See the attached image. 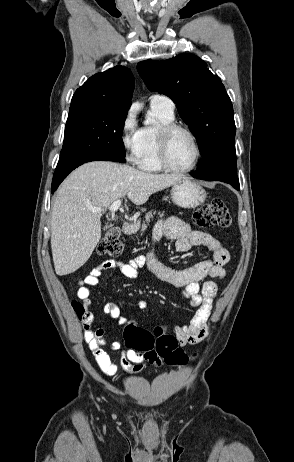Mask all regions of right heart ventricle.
Segmentation results:
<instances>
[{
	"mask_svg": "<svg viewBox=\"0 0 294 462\" xmlns=\"http://www.w3.org/2000/svg\"><path fill=\"white\" fill-rule=\"evenodd\" d=\"M150 115L156 120V124L144 126L139 130L141 147L137 165L145 172L159 173L163 168L158 159V131L161 126L173 123L175 116L174 112L152 106Z\"/></svg>",
	"mask_w": 294,
	"mask_h": 462,
	"instance_id": "e07e8e85",
	"label": "right heart ventricle"
}]
</instances>
